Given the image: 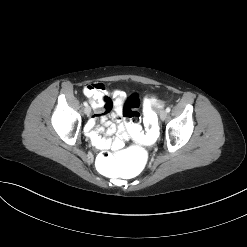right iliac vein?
<instances>
[{"label": "right iliac vein", "mask_w": 247, "mask_h": 247, "mask_svg": "<svg viewBox=\"0 0 247 247\" xmlns=\"http://www.w3.org/2000/svg\"><path fill=\"white\" fill-rule=\"evenodd\" d=\"M84 112H85L86 115L89 116L90 113H91V108H90V106H86L85 109H84Z\"/></svg>", "instance_id": "right-iliac-vein-1"}]
</instances>
